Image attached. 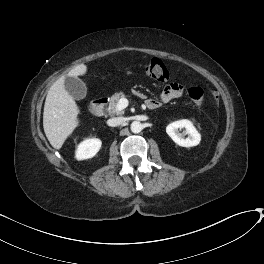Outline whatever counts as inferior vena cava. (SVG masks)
<instances>
[{"label":"inferior vena cava","mask_w":264,"mask_h":264,"mask_svg":"<svg viewBox=\"0 0 264 264\" xmlns=\"http://www.w3.org/2000/svg\"><path fill=\"white\" fill-rule=\"evenodd\" d=\"M125 122L124 117H116L110 120V125L111 126H119Z\"/></svg>","instance_id":"602c4592"}]
</instances>
